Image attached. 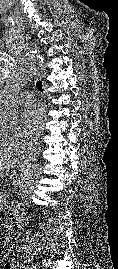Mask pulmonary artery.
Listing matches in <instances>:
<instances>
[{"instance_id":"1","label":"pulmonary artery","mask_w":118,"mask_h":269,"mask_svg":"<svg viewBox=\"0 0 118 269\" xmlns=\"http://www.w3.org/2000/svg\"><path fill=\"white\" fill-rule=\"evenodd\" d=\"M35 100V95L31 91L23 92L17 97V102L21 105L31 104Z\"/></svg>"}]
</instances>
